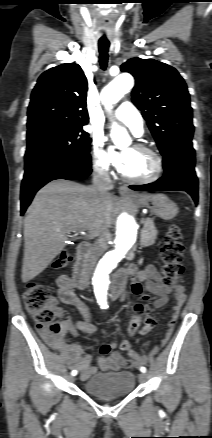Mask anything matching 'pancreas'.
<instances>
[{"label": "pancreas", "mask_w": 212, "mask_h": 438, "mask_svg": "<svg viewBox=\"0 0 212 438\" xmlns=\"http://www.w3.org/2000/svg\"><path fill=\"white\" fill-rule=\"evenodd\" d=\"M157 229L155 228L154 222L152 219L146 220L145 227L141 230L140 233V244L142 247H148L155 243V239L157 236Z\"/></svg>", "instance_id": "1"}]
</instances>
